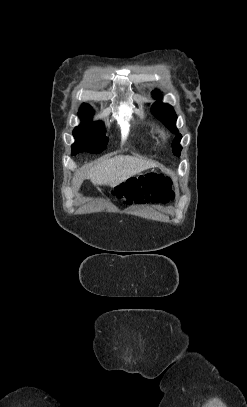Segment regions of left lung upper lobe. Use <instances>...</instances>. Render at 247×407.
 I'll return each mask as SVG.
<instances>
[{
    "label": "left lung upper lobe",
    "mask_w": 247,
    "mask_h": 407,
    "mask_svg": "<svg viewBox=\"0 0 247 407\" xmlns=\"http://www.w3.org/2000/svg\"><path fill=\"white\" fill-rule=\"evenodd\" d=\"M153 97L157 99H161L159 91L152 92ZM152 114L158 118L163 124L172 132V133H179L178 129L176 128V120L177 116L175 111L173 110L172 106L168 104H163L161 102H157L156 104L152 105L151 107ZM182 136L181 134H177L173 143H172V151L174 155L180 156L182 147L180 145V140Z\"/></svg>",
    "instance_id": "5c2ea615"
}]
</instances>
